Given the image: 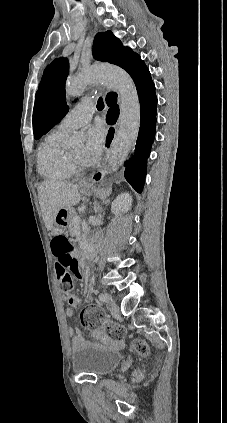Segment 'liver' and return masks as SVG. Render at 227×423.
<instances>
[{"mask_svg":"<svg viewBox=\"0 0 227 423\" xmlns=\"http://www.w3.org/2000/svg\"><path fill=\"white\" fill-rule=\"evenodd\" d=\"M38 198L47 229H54L55 217L61 208H72L81 200L76 184L44 180L38 188Z\"/></svg>","mask_w":227,"mask_h":423,"instance_id":"1","label":"liver"}]
</instances>
